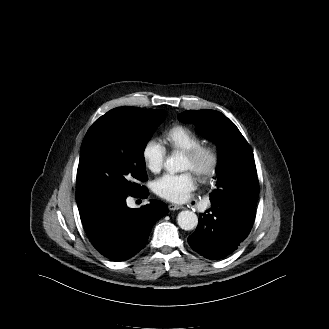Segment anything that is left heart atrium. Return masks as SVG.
Masks as SVG:
<instances>
[{"mask_svg": "<svg viewBox=\"0 0 329 329\" xmlns=\"http://www.w3.org/2000/svg\"><path fill=\"white\" fill-rule=\"evenodd\" d=\"M196 188V180L191 171L181 174H165L154 183L155 193L163 199L180 203L185 201Z\"/></svg>", "mask_w": 329, "mask_h": 329, "instance_id": "1", "label": "left heart atrium"}]
</instances>
